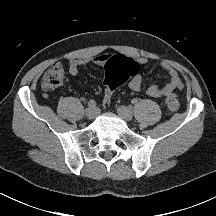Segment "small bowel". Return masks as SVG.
I'll return each mask as SVG.
<instances>
[{
	"mask_svg": "<svg viewBox=\"0 0 216 216\" xmlns=\"http://www.w3.org/2000/svg\"><path fill=\"white\" fill-rule=\"evenodd\" d=\"M119 57L128 58L139 65H144L148 62L147 58L134 55L125 56L120 54H101L93 58L73 59L68 61V72L75 76L78 74L79 68L84 64L105 67L110 61ZM160 66L167 72L168 81L163 87L153 84L147 88V94L153 98H161L173 94L175 91L182 90L184 86L178 72L169 62L162 61ZM128 86L132 91H140L143 86L142 77L140 75H135L130 80Z\"/></svg>",
	"mask_w": 216,
	"mask_h": 216,
	"instance_id": "obj_1",
	"label": "small bowel"
}]
</instances>
